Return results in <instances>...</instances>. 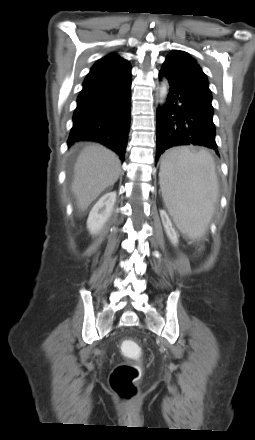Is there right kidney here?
I'll list each match as a JSON object with an SVG mask.
<instances>
[{"label":"right kidney","mask_w":255,"mask_h":440,"mask_svg":"<svg viewBox=\"0 0 255 440\" xmlns=\"http://www.w3.org/2000/svg\"><path fill=\"white\" fill-rule=\"evenodd\" d=\"M116 201V192L103 195L89 213L87 228L91 234H98L112 214Z\"/></svg>","instance_id":"ca27d5eb"}]
</instances>
